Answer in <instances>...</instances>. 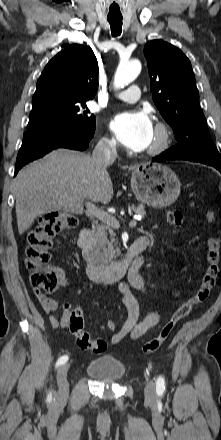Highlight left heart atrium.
<instances>
[{"label": "left heart atrium", "instance_id": "1", "mask_svg": "<svg viewBox=\"0 0 221 440\" xmlns=\"http://www.w3.org/2000/svg\"><path fill=\"white\" fill-rule=\"evenodd\" d=\"M110 128L124 146L136 151L149 147L153 135L152 122L143 111L116 115Z\"/></svg>", "mask_w": 221, "mask_h": 440}]
</instances>
